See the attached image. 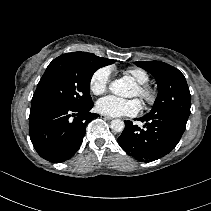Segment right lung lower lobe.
I'll list each match as a JSON object with an SVG mask.
<instances>
[{
  "instance_id": "obj_1",
  "label": "right lung lower lobe",
  "mask_w": 211,
  "mask_h": 211,
  "mask_svg": "<svg viewBox=\"0 0 211 211\" xmlns=\"http://www.w3.org/2000/svg\"><path fill=\"white\" fill-rule=\"evenodd\" d=\"M92 107L31 106L29 133L37 153L52 163L70 159L82 144L87 123L97 115L90 113Z\"/></svg>"
}]
</instances>
